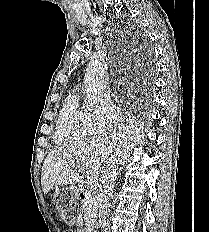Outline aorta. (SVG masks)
I'll list each match as a JSON object with an SVG mask.
<instances>
[{"instance_id": "1", "label": "aorta", "mask_w": 209, "mask_h": 232, "mask_svg": "<svg viewBox=\"0 0 209 232\" xmlns=\"http://www.w3.org/2000/svg\"><path fill=\"white\" fill-rule=\"evenodd\" d=\"M87 101L85 106L93 108L100 100L104 91V66L99 59H92L85 73Z\"/></svg>"}]
</instances>
